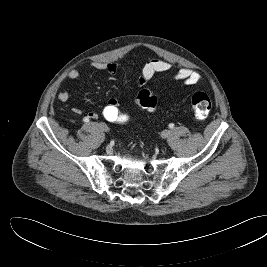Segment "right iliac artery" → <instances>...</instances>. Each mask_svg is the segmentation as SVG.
<instances>
[{
  "label": "right iliac artery",
  "instance_id": "right-iliac-artery-1",
  "mask_svg": "<svg viewBox=\"0 0 267 267\" xmlns=\"http://www.w3.org/2000/svg\"><path fill=\"white\" fill-rule=\"evenodd\" d=\"M84 121H85V122H88V121H89V119L85 117V118H84Z\"/></svg>",
  "mask_w": 267,
  "mask_h": 267
}]
</instances>
